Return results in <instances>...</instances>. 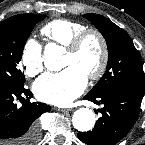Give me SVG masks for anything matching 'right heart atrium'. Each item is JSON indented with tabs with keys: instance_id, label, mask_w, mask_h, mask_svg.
<instances>
[{
	"instance_id": "right-heart-atrium-1",
	"label": "right heart atrium",
	"mask_w": 145,
	"mask_h": 145,
	"mask_svg": "<svg viewBox=\"0 0 145 145\" xmlns=\"http://www.w3.org/2000/svg\"><path fill=\"white\" fill-rule=\"evenodd\" d=\"M21 61L29 77H35L44 70L43 49L40 43L29 39L22 50Z\"/></svg>"
}]
</instances>
